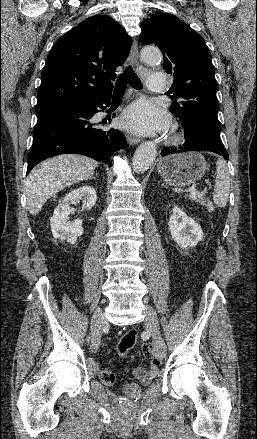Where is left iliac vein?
I'll return each mask as SVG.
<instances>
[{
    "label": "left iliac vein",
    "instance_id": "1",
    "mask_svg": "<svg viewBox=\"0 0 257 439\" xmlns=\"http://www.w3.org/2000/svg\"><path fill=\"white\" fill-rule=\"evenodd\" d=\"M145 313L147 327L152 334L158 356L162 359L166 356V345L160 334L157 314L155 310L149 305L146 306Z\"/></svg>",
    "mask_w": 257,
    "mask_h": 439
}]
</instances>
